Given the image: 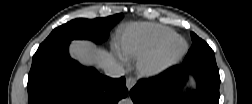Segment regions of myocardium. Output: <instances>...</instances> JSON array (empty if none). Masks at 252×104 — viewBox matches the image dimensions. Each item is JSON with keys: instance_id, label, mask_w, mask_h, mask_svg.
<instances>
[{"instance_id": "obj_1", "label": "myocardium", "mask_w": 252, "mask_h": 104, "mask_svg": "<svg viewBox=\"0 0 252 104\" xmlns=\"http://www.w3.org/2000/svg\"><path fill=\"white\" fill-rule=\"evenodd\" d=\"M177 40H182V47L176 52H169V47ZM187 51L186 41L179 35L166 39L154 49L138 58L137 68L141 75H155L170 65L178 62Z\"/></svg>"}]
</instances>
